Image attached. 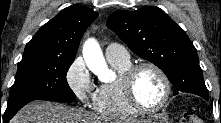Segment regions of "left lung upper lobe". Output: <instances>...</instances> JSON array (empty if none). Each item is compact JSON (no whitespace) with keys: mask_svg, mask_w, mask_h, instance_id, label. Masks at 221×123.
I'll use <instances>...</instances> for the list:
<instances>
[{"mask_svg":"<svg viewBox=\"0 0 221 123\" xmlns=\"http://www.w3.org/2000/svg\"><path fill=\"white\" fill-rule=\"evenodd\" d=\"M107 26L138 56L158 66L173 84L174 95L188 92L208 100L196 48L163 10L146 6L114 12Z\"/></svg>","mask_w":221,"mask_h":123,"instance_id":"5c2ea615","label":"left lung upper lobe"}]
</instances>
